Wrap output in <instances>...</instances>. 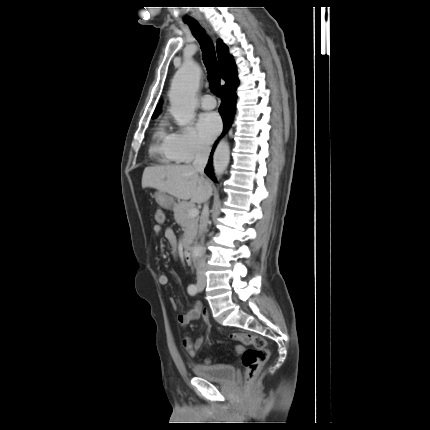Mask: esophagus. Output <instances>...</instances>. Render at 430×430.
<instances>
[{"label":"esophagus","mask_w":430,"mask_h":430,"mask_svg":"<svg viewBox=\"0 0 430 430\" xmlns=\"http://www.w3.org/2000/svg\"><path fill=\"white\" fill-rule=\"evenodd\" d=\"M204 27L206 28V30L208 31V33H210L211 35H213V30H212V28L210 27V25H208V24H204Z\"/></svg>","instance_id":"obj_1"}]
</instances>
